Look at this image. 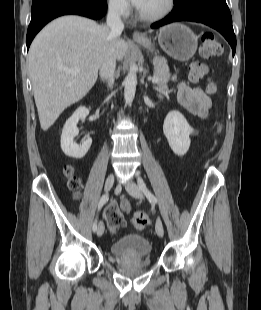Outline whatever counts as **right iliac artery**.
Instances as JSON below:
<instances>
[{"label":"right iliac artery","instance_id":"82829eb1","mask_svg":"<svg viewBox=\"0 0 261 310\" xmlns=\"http://www.w3.org/2000/svg\"><path fill=\"white\" fill-rule=\"evenodd\" d=\"M108 201V194H105L101 197L99 203H98V212L101 210V208L104 206V204ZM93 232L97 231V218L94 220L93 226H92Z\"/></svg>","mask_w":261,"mask_h":310}]
</instances>
